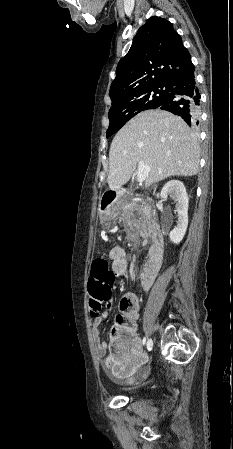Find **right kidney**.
I'll list each match as a JSON object with an SVG mask.
<instances>
[{
  "label": "right kidney",
  "instance_id": "right-kidney-1",
  "mask_svg": "<svg viewBox=\"0 0 233 449\" xmlns=\"http://www.w3.org/2000/svg\"><path fill=\"white\" fill-rule=\"evenodd\" d=\"M162 199L172 198L176 202L177 226L170 232V240L178 244L182 241L188 226V195L184 184L179 180L168 181L161 190Z\"/></svg>",
  "mask_w": 233,
  "mask_h": 449
}]
</instances>
